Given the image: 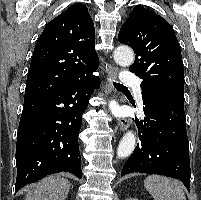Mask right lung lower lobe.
Masks as SVG:
<instances>
[{
	"label": "right lung lower lobe",
	"mask_w": 201,
	"mask_h": 200,
	"mask_svg": "<svg viewBox=\"0 0 201 200\" xmlns=\"http://www.w3.org/2000/svg\"><path fill=\"white\" fill-rule=\"evenodd\" d=\"M99 78L87 73L60 90L24 99L17 133L15 193L43 177L70 172L82 177L78 134Z\"/></svg>",
	"instance_id": "right-lung-lower-lobe-1"
}]
</instances>
